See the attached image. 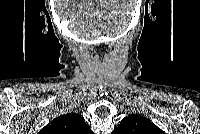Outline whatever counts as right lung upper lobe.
<instances>
[{"label": "right lung upper lobe", "mask_w": 200, "mask_h": 134, "mask_svg": "<svg viewBox=\"0 0 200 134\" xmlns=\"http://www.w3.org/2000/svg\"><path fill=\"white\" fill-rule=\"evenodd\" d=\"M42 134H90L84 119L76 113H68L55 118L42 130Z\"/></svg>", "instance_id": "obj_1"}]
</instances>
